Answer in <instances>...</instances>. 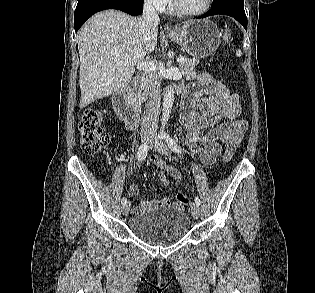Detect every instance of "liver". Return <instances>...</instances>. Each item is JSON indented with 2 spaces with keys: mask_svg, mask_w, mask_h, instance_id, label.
Listing matches in <instances>:
<instances>
[{
  "mask_svg": "<svg viewBox=\"0 0 315 293\" xmlns=\"http://www.w3.org/2000/svg\"><path fill=\"white\" fill-rule=\"evenodd\" d=\"M157 37L156 28L151 41H145L142 18L120 11L99 12L89 19L78 39L80 108L128 86L137 64L155 49Z\"/></svg>",
  "mask_w": 315,
  "mask_h": 293,
  "instance_id": "1",
  "label": "liver"
}]
</instances>
